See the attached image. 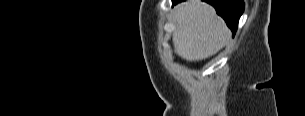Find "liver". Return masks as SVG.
<instances>
[{
    "instance_id": "6515ba94",
    "label": "liver",
    "mask_w": 305,
    "mask_h": 116,
    "mask_svg": "<svg viewBox=\"0 0 305 116\" xmlns=\"http://www.w3.org/2000/svg\"><path fill=\"white\" fill-rule=\"evenodd\" d=\"M231 33L215 9L200 0L176 6L175 53L187 61L206 59L221 50Z\"/></svg>"
}]
</instances>
